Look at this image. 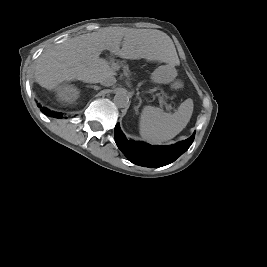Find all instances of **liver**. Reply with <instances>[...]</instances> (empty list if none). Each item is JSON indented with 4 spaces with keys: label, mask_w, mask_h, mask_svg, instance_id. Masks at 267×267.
Returning a JSON list of instances; mask_svg holds the SVG:
<instances>
[{
    "label": "liver",
    "mask_w": 267,
    "mask_h": 267,
    "mask_svg": "<svg viewBox=\"0 0 267 267\" xmlns=\"http://www.w3.org/2000/svg\"><path fill=\"white\" fill-rule=\"evenodd\" d=\"M104 50L125 59L144 58L171 67L179 64L175 46L165 33L150 29H114L67 38L45 50L33 66L36 82L53 90L62 82L95 83L94 80L103 75L114 76V69L99 59ZM99 62L108 67L97 65Z\"/></svg>",
    "instance_id": "6515ba94"
}]
</instances>
